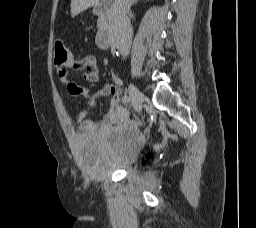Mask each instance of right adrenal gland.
<instances>
[{
    "mask_svg": "<svg viewBox=\"0 0 256 228\" xmlns=\"http://www.w3.org/2000/svg\"><path fill=\"white\" fill-rule=\"evenodd\" d=\"M137 2H138V0H134V1H133V3H137Z\"/></svg>",
    "mask_w": 256,
    "mask_h": 228,
    "instance_id": "obj_1",
    "label": "right adrenal gland"
}]
</instances>
